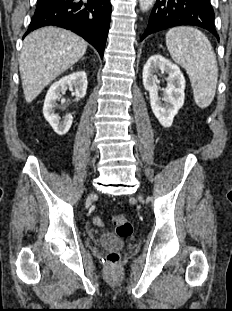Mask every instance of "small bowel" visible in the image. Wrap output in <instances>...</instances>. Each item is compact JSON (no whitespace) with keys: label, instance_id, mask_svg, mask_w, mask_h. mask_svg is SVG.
I'll use <instances>...</instances> for the list:
<instances>
[{"label":"small bowel","instance_id":"c3829d8e","mask_svg":"<svg viewBox=\"0 0 232 311\" xmlns=\"http://www.w3.org/2000/svg\"><path fill=\"white\" fill-rule=\"evenodd\" d=\"M94 224L97 226H102L103 225V221L99 218H95L94 220Z\"/></svg>","mask_w":232,"mask_h":311}]
</instances>
